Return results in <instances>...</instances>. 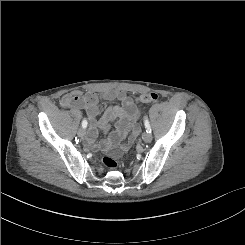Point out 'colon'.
<instances>
[{"mask_svg": "<svg viewBox=\"0 0 245 245\" xmlns=\"http://www.w3.org/2000/svg\"><path fill=\"white\" fill-rule=\"evenodd\" d=\"M159 99V96L156 93H146L138 96L136 100L140 103H153ZM71 104H79L82 101V96L79 94H73L68 99ZM102 164L107 168H115L117 162L109 156H105L101 159Z\"/></svg>", "mask_w": 245, "mask_h": 245, "instance_id": "colon-1", "label": "colon"}]
</instances>
